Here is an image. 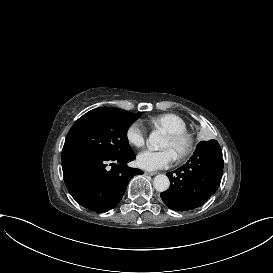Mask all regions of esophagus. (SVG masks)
I'll use <instances>...</instances> for the list:
<instances>
[{
    "mask_svg": "<svg viewBox=\"0 0 273 273\" xmlns=\"http://www.w3.org/2000/svg\"><path fill=\"white\" fill-rule=\"evenodd\" d=\"M144 174L148 175V176H154V175L157 174V172H148V171H145Z\"/></svg>",
    "mask_w": 273,
    "mask_h": 273,
    "instance_id": "obj_1",
    "label": "esophagus"
}]
</instances>
